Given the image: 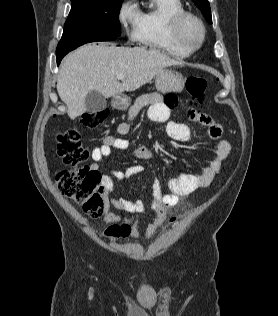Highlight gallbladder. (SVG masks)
<instances>
[{"label":"gallbladder","mask_w":278,"mask_h":316,"mask_svg":"<svg viewBox=\"0 0 278 316\" xmlns=\"http://www.w3.org/2000/svg\"><path fill=\"white\" fill-rule=\"evenodd\" d=\"M86 111L90 114L100 112L106 108L105 97L98 91H90L85 97Z\"/></svg>","instance_id":"1"}]
</instances>
